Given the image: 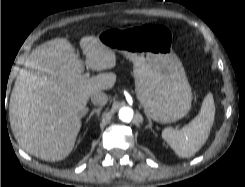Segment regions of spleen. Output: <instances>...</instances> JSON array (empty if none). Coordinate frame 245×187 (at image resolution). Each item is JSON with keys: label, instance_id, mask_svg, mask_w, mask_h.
Listing matches in <instances>:
<instances>
[{"label": "spleen", "instance_id": "1", "mask_svg": "<svg viewBox=\"0 0 245 187\" xmlns=\"http://www.w3.org/2000/svg\"><path fill=\"white\" fill-rule=\"evenodd\" d=\"M215 105L212 93H208L199 114L181 130L171 127L162 131V138L175 153L182 158H188L198 152L205 144L214 123Z\"/></svg>", "mask_w": 245, "mask_h": 187}]
</instances>
